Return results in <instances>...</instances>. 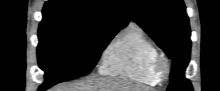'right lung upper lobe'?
I'll use <instances>...</instances> for the list:
<instances>
[{
    "mask_svg": "<svg viewBox=\"0 0 220 91\" xmlns=\"http://www.w3.org/2000/svg\"><path fill=\"white\" fill-rule=\"evenodd\" d=\"M40 25L74 24L120 30L128 18L118 0H49Z\"/></svg>",
    "mask_w": 220,
    "mask_h": 91,
    "instance_id": "right-lung-upper-lobe-1",
    "label": "right lung upper lobe"
}]
</instances>
